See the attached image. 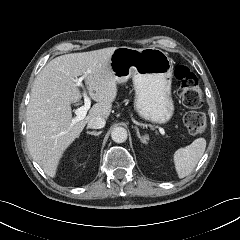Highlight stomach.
I'll return each instance as SVG.
<instances>
[{
  "instance_id": "obj_1",
  "label": "stomach",
  "mask_w": 240,
  "mask_h": 240,
  "mask_svg": "<svg viewBox=\"0 0 240 240\" xmlns=\"http://www.w3.org/2000/svg\"><path fill=\"white\" fill-rule=\"evenodd\" d=\"M110 68L117 83L132 78L140 117L159 124L170 120L174 112L172 61L166 52L154 47H117L110 57Z\"/></svg>"
}]
</instances>
